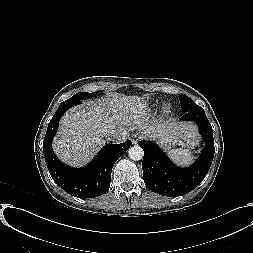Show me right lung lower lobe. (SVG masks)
<instances>
[{"label":"right lung lower lobe","mask_w":253,"mask_h":253,"mask_svg":"<svg viewBox=\"0 0 253 253\" xmlns=\"http://www.w3.org/2000/svg\"><path fill=\"white\" fill-rule=\"evenodd\" d=\"M80 103L81 100L64 101L60 104L49 122L43 142V153L51 177L63 190L76 197L93 198L109 189L113 165L132 143L127 140L121 144H107L89 165L81 169L62 164L54 154L51 143L62 115L67 109Z\"/></svg>","instance_id":"obj_1"}]
</instances>
